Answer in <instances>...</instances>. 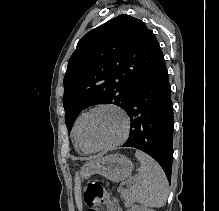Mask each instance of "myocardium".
I'll list each match as a JSON object with an SVG mask.
<instances>
[{"label":"myocardium","instance_id":"1","mask_svg":"<svg viewBox=\"0 0 219 211\" xmlns=\"http://www.w3.org/2000/svg\"><path fill=\"white\" fill-rule=\"evenodd\" d=\"M101 108H111V109L116 110L117 112H119L122 115V117L124 119L123 132L118 139H116L110 143L99 145V146H90L86 143V141L83 138V125H84L86 118L88 117V115L90 113H92L93 111H95L97 109H101ZM129 129H130V116L121 106L114 104V103H100V104H97V105L91 107L82 115V117L79 121V126H78V136H79L80 143L85 148H87L91 151H99V150H106V149L116 147L117 145L124 142L128 136Z\"/></svg>","mask_w":219,"mask_h":211}]
</instances>
